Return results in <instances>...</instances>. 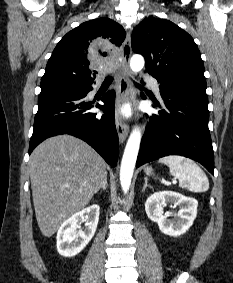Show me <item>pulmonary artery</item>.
Segmentation results:
<instances>
[{
    "label": "pulmonary artery",
    "mask_w": 233,
    "mask_h": 283,
    "mask_svg": "<svg viewBox=\"0 0 233 283\" xmlns=\"http://www.w3.org/2000/svg\"><path fill=\"white\" fill-rule=\"evenodd\" d=\"M145 81L148 85H150L152 87L155 94L159 97L160 96V89H159L158 81L154 78H146Z\"/></svg>",
    "instance_id": "e3ab8cb5"
}]
</instances>
